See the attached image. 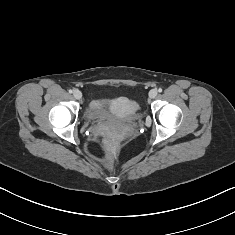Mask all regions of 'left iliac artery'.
Here are the masks:
<instances>
[{
  "label": "left iliac artery",
  "instance_id": "1",
  "mask_svg": "<svg viewBox=\"0 0 235 235\" xmlns=\"http://www.w3.org/2000/svg\"><path fill=\"white\" fill-rule=\"evenodd\" d=\"M158 92H160V93H161V92H162V89H161V88H159V89H158Z\"/></svg>",
  "mask_w": 235,
  "mask_h": 235
}]
</instances>
